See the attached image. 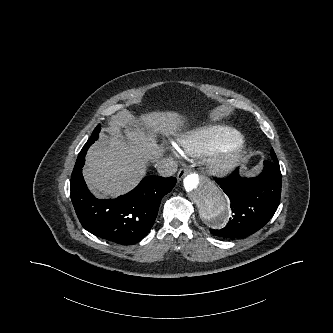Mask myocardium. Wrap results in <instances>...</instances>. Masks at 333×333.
Here are the masks:
<instances>
[{
	"label": "myocardium",
	"mask_w": 333,
	"mask_h": 333,
	"mask_svg": "<svg viewBox=\"0 0 333 333\" xmlns=\"http://www.w3.org/2000/svg\"><path fill=\"white\" fill-rule=\"evenodd\" d=\"M245 146L242 140L221 143L205 156V163L210 173L224 176L234 170L244 157Z\"/></svg>",
	"instance_id": "obj_1"
}]
</instances>
